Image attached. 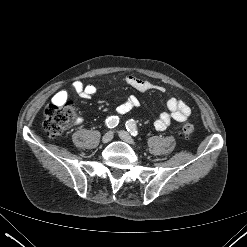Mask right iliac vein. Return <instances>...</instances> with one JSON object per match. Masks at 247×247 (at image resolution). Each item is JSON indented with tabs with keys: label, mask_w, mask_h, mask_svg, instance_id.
<instances>
[{
	"label": "right iliac vein",
	"mask_w": 247,
	"mask_h": 247,
	"mask_svg": "<svg viewBox=\"0 0 247 247\" xmlns=\"http://www.w3.org/2000/svg\"><path fill=\"white\" fill-rule=\"evenodd\" d=\"M113 139V132L109 131L102 137L103 143H108Z\"/></svg>",
	"instance_id": "right-iliac-vein-1"
}]
</instances>
